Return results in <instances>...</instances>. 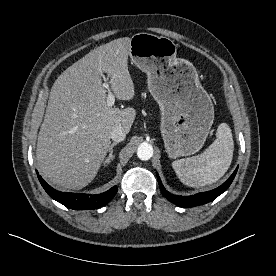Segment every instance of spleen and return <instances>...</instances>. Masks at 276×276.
I'll return each instance as SVG.
<instances>
[{
    "label": "spleen",
    "mask_w": 276,
    "mask_h": 276,
    "mask_svg": "<svg viewBox=\"0 0 276 276\" xmlns=\"http://www.w3.org/2000/svg\"><path fill=\"white\" fill-rule=\"evenodd\" d=\"M234 141L230 127L221 123L215 141L201 154L172 163L177 176L187 186L202 187L218 181L230 167Z\"/></svg>",
    "instance_id": "1"
}]
</instances>
